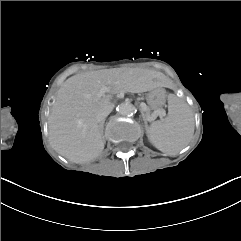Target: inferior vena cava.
Returning a JSON list of instances; mask_svg holds the SVG:
<instances>
[{
  "mask_svg": "<svg viewBox=\"0 0 241 241\" xmlns=\"http://www.w3.org/2000/svg\"><path fill=\"white\" fill-rule=\"evenodd\" d=\"M114 105H111L109 107H107L106 109L100 111L97 115H96V122L99 125H102L105 121V118L110 114V112L113 110Z\"/></svg>",
  "mask_w": 241,
  "mask_h": 241,
  "instance_id": "1",
  "label": "inferior vena cava"
}]
</instances>
